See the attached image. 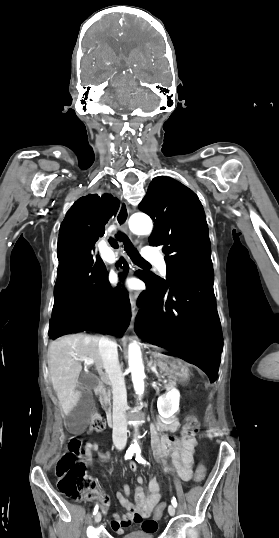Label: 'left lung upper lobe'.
<instances>
[{"label":"left lung upper lobe","instance_id":"obj_1","mask_svg":"<svg viewBox=\"0 0 279 538\" xmlns=\"http://www.w3.org/2000/svg\"><path fill=\"white\" fill-rule=\"evenodd\" d=\"M139 209L154 221L151 246L166 254L167 282L148 274L161 290L168 283L195 273L213 270L208 226L197 195L165 176L154 178Z\"/></svg>","mask_w":279,"mask_h":538}]
</instances>
